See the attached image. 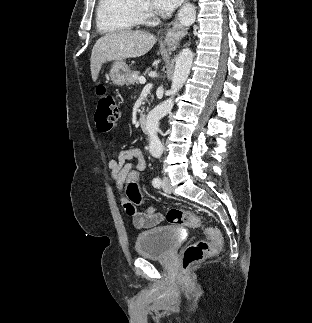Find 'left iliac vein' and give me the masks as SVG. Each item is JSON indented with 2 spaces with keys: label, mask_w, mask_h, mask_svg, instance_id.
Instances as JSON below:
<instances>
[{
  "label": "left iliac vein",
  "mask_w": 312,
  "mask_h": 323,
  "mask_svg": "<svg viewBox=\"0 0 312 323\" xmlns=\"http://www.w3.org/2000/svg\"><path fill=\"white\" fill-rule=\"evenodd\" d=\"M162 188L165 192L167 193H171L172 192V187L170 185V180L168 177H163V181H162Z\"/></svg>",
  "instance_id": "1"
}]
</instances>
